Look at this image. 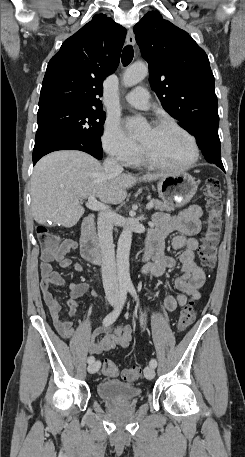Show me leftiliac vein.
<instances>
[{
  "label": "left iliac vein",
  "instance_id": "left-iliac-vein-1",
  "mask_svg": "<svg viewBox=\"0 0 245 457\" xmlns=\"http://www.w3.org/2000/svg\"><path fill=\"white\" fill-rule=\"evenodd\" d=\"M144 374L148 380H152L155 376L154 368L151 366L146 367L144 369Z\"/></svg>",
  "mask_w": 245,
  "mask_h": 457
}]
</instances>
